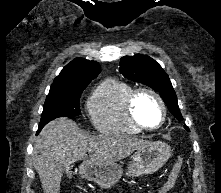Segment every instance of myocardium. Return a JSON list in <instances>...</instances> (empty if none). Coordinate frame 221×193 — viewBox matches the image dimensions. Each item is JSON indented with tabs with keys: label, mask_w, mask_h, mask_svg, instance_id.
<instances>
[{
	"label": "myocardium",
	"mask_w": 221,
	"mask_h": 193,
	"mask_svg": "<svg viewBox=\"0 0 221 193\" xmlns=\"http://www.w3.org/2000/svg\"><path fill=\"white\" fill-rule=\"evenodd\" d=\"M141 94H149L152 97H154L156 99V101L158 102L160 109H161V120L159 122V124L155 127H149L144 125L143 123H141L136 115H135V103L137 98L141 95ZM126 109H127V114L129 116V119L131 120V122L138 127L141 130L144 131H155L160 129L165 121H166V115H167V108H166V104L163 100V98L161 97V95L155 91L154 89L150 88V87H140L137 89H134L131 94L129 95L127 102H126Z\"/></svg>",
	"instance_id": "1"
}]
</instances>
